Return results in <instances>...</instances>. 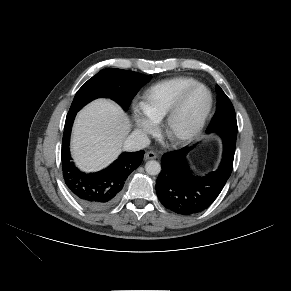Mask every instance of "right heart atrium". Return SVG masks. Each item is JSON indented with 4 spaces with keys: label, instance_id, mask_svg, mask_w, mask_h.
I'll list each match as a JSON object with an SVG mask.
<instances>
[{
    "label": "right heart atrium",
    "instance_id": "obj_1",
    "mask_svg": "<svg viewBox=\"0 0 291 291\" xmlns=\"http://www.w3.org/2000/svg\"><path fill=\"white\" fill-rule=\"evenodd\" d=\"M133 120L143 136L153 134L156 131V123L151 120L141 108H136L133 111Z\"/></svg>",
    "mask_w": 291,
    "mask_h": 291
}]
</instances>
